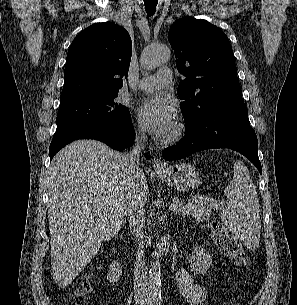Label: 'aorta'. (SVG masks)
Wrapping results in <instances>:
<instances>
[{
    "label": "aorta",
    "mask_w": 297,
    "mask_h": 305,
    "mask_svg": "<svg viewBox=\"0 0 297 305\" xmlns=\"http://www.w3.org/2000/svg\"><path fill=\"white\" fill-rule=\"evenodd\" d=\"M170 49L165 45L146 48L141 55V65L153 69L165 63L170 57ZM148 291L152 297L161 295V269L157 260L151 263L148 277Z\"/></svg>",
    "instance_id": "1"
}]
</instances>
